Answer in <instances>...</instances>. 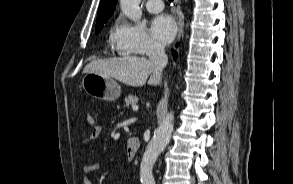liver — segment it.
I'll list each match as a JSON object with an SVG mask.
<instances>
[{
    "mask_svg": "<svg viewBox=\"0 0 293 184\" xmlns=\"http://www.w3.org/2000/svg\"><path fill=\"white\" fill-rule=\"evenodd\" d=\"M88 72L112 77L134 87L143 86L149 76V85L161 83V74L155 72L150 60L144 57L125 56L93 60L84 68V73Z\"/></svg>",
    "mask_w": 293,
    "mask_h": 184,
    "instance_id": "1",
    "label": "liver"
}]
</instances>
